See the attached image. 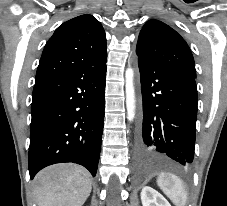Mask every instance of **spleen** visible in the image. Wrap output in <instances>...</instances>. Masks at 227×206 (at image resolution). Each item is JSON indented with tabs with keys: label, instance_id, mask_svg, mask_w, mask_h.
Masks as SVG:
<instances>
[{
	"label": "spleen",
	"instance_id": "3e777b00",
	"mask_svg": "<svg viewBox=\"0 0 227 206\" xmlns=\"http://www.w3.org/2000/svg\"><path fill=\"white\" fill-rule=\"evenodd\" d=\"M157 184L176 206L186 205L188 194L179 177L171 173H161Z\"/></svg>",
	"mask_w": 227,
	"mask_h": 206
}]
</instances>
